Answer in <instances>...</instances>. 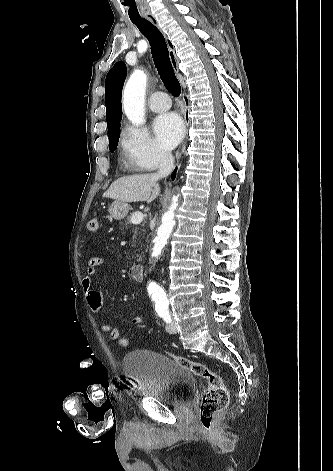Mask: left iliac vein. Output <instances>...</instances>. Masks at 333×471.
I'll list each match as a JSON object with an SVG mask.
<instances>
[{
    "label": "left iliac vein",
    "mask_w": 333,
    "mask_h": 471,
    "mask_svg": "<svg viewBox=\"0 0 333 471\" xmlns=\"http://www.w3.org/2000/svg\"><path fill=\"white\" fill-rule=\"evenodd\" d=\"M166 331L170 334H174L177 332V326L174 322H170L166 325Z\"/></svg>",
    "instance_id": "4c4485c4"
}]
</instances>
